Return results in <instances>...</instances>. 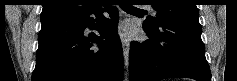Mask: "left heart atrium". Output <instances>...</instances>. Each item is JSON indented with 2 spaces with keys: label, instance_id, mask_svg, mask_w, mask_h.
<instances>
[{
  "label": "left heart atrium",
  "instance_id": "1",
  "mask_svg": "<svg viewBox=\"0 0 237 81\" xmlns=\"http://www.w3.org/2000/svg\"><path fill=\"white\" fill-rule=\"evenodd\" d=\"M122 30L125 32V33H128L129 32V26L128 25H124L122 27Z\"/></svg>",
  "mask_w": 237,
  "mask_h": 81
}]
</instances>
